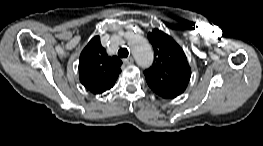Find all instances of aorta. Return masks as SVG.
I'll list each match as a JSON object with an SVG mask.
<instances>
[{
	"mask_svg": "<svg viewBox=\"0 0 263 146\" xmlns=\"http://www.w3.org/2000/svg\"><path fill=\"white\" fill-rule=\"evenodd\" d=\"M128 45L137 64L142 68L149 67L153 62V51L148 41L141 35L132 33L128 39Z\"/></svg>",
	"mask_w": 263,
	"mask_h": 146,
	"instance_id": "762f6f07",
	"label": "aorta"
}]
</instances>
